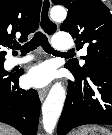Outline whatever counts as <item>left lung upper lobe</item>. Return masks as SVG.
<instances>
[{"label": "left lung upper lobe", "mask_w": 112, "mask_h": 135, "mask_svg": "<svg viewBox=\"0 0 112 135\" xmlns=\"http://www.w3.org/2000/svg\"><path fill=\"white\" fill-rule=\"evenodd\" d=\"M63 5L68 15L60 30L76 38L77 49L87 48L80 66L71 61L66 66L80 76L97 70H112V15L101 0H52Z\"/></svg>", "instance_id": "1"}]
</instances>
